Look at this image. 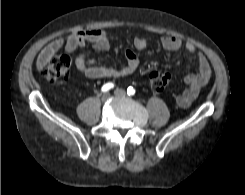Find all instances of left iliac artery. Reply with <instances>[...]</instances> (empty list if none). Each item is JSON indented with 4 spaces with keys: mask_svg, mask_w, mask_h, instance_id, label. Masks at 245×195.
Wrapping results in <instances>:
<instances>
[{
    "mask_svg": "<svg viewBox=\"0 0 245 195\" xmlns=\"http://www.w3.org/2000/svg\"><path fill=\"white\" fill-rule=\"evenodd\" d=\"M127 94H128L129 96L134 95V94H135V89H134L133 87H128V89H127Z\"/></svg>",
    "mask_w": 245,
    "mask_h": 195,
    "instance_id": "1",
    "label": "left iliac artery"
}]
</instances>
